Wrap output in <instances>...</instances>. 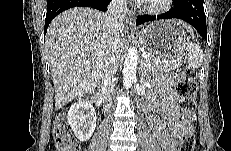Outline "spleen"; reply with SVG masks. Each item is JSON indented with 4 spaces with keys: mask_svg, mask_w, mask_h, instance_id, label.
Masks as SVG:
<instances>
[{
    "mask_svg": "<svg viewBox=\"0 0 231 151\" xmlns=\"http://www.w3.org/2000/svg\"><path fill=\"white\" fill-rule=\"evenodd\" d=\"M188 65L192 69H198L203 62V51L198 44L187 42Z\"/></svg>",
    "mask_w": 231,
    "mask_h": 151,
    "instance_id": "1",
    "label": "spleen"
}]
</instances>
